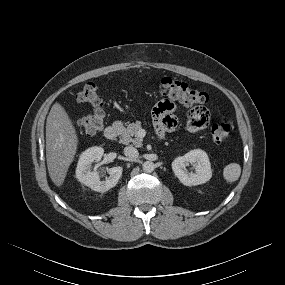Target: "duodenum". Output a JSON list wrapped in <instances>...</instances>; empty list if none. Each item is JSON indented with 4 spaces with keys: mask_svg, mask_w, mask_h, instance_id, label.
Masks as SVG:
<instances>
[{
    "mask_svg": "<svg viewBox=\"0 0 285 285\" xmlns=\"http://www.w3.org/2000/svg\"><path fill=\"white\" fill-rule=\"evenodd\" d=\"M119 132V128L115 125H111L105 128L104 130V137L107 140H114L116 139Z\"/></svg>",
    "mask_w": 285,
    "mask_h": 285,
    "instance_id": "obj_1",
    "label": "duodenum"
}]
</instances>
